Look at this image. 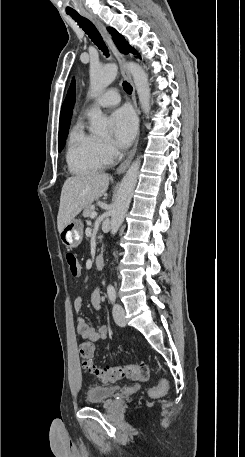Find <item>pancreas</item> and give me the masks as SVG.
Masks as SVG:
<instances>
[{
	"instance_id": "pancreas-1",
	"label": "pancreas",
	"mask_w": 245,
	"mask_h": 457,
	"mask_svg": "<svg viewBox=\"0 0 245 457\" xmlns=\"http://www.w3.org/2000/svg\"><path fill=\"white\" fill-rule=\"evenodd\" d=\"M94 208H95V206H93V204H91V202H90V204H86V206L82 212L83 216H90V214H91V212H93Z\"/></svg>"
}]
</instances>
